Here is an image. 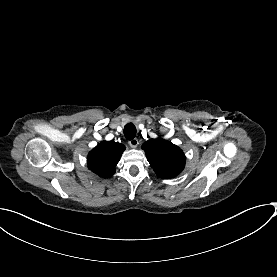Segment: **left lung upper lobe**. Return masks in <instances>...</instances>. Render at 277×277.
<instances>
[{"instance_id": "obj_1", "label": "left lung upper lobe", "mask_w": 277, "mask_h": 277, "mask_svg": "<svg viewBox=\"0 0 277 277\" xmlns=\"http://www.w3.org/2000/svg\"><path fill=\"white\" fill-rule=\"evenodd\" d=\"M147 160L160 178L170 179L182 172L186 157L173 143L162 138L150 139L142 145Z\"/></svg>"}]
</instances>
